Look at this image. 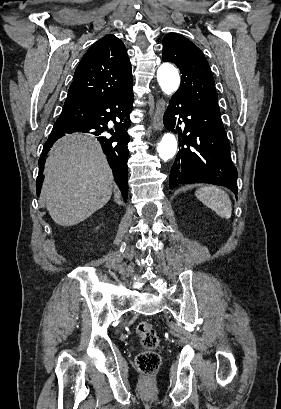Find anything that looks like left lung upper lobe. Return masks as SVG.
Returning a JSON list of instances; mask_svg holds the SVG:
<instances>
[{
	"label": "left lung upper lobe",
	"instance_id": "1",
	"mask_svg": "<svg viewBox=\"0 0 281 409\" xmlns=\"http://www.w3.org/2000/svg\"><path fill=\"white\" fill-rule=\"evenodd\" d=\"M162 60L175 63L182 73V83L176 94L221 116L214 79L198 47L182 35L169 33L163 39Z\"/></svg>",
	"mask_w": 281,
	"mask_h": 409
}]
</instances>
